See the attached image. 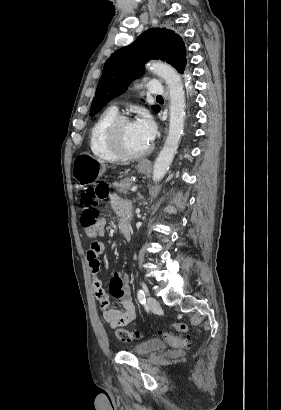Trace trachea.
Listing matches in <instances>:
<instances>
[{"mask_svg": "<svg viewBox=\"0 0 281 410\" xmlns=\"http://www.w3.org/2000/svg\"><path fill=\"white\" fill-rule=\"evenodd\" d=\"M157 98H162V96H161V95H158Z\"/></svg>", "mask_w": 281, "mask_h": 410, "instance_id": "3493384b", "label": "trachea"}]
</instances>
